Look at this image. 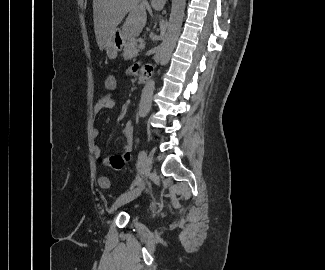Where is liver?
<instances>
[{
    "label": "liver",
    "mask_w": 325,
    "mask_h": 270,
    "mask_svg": "<svg viewBox=\"0 0 325 270\" xmlns=\"http://www.w3.org/2000/svg\"><path fill=\"white\" fill-rule=\"evenodd\" d=\"M146 9L151 12L146 0H93L94 31L99 49L105 48L128 13L122 31L128 40L137 37L146 25Z\"/></svg>",
    "instance_id": "1"
}]
</instances>
